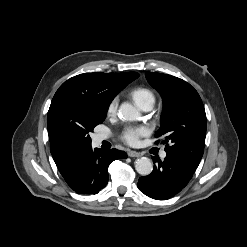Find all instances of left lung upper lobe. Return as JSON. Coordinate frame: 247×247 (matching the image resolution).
<instances>
[{"instance_id": "1", "label": "left lung upper lobe", "mask_w": 247, "mask_h": 247, "mask_svg": "<svg viewBox=\"0 0 247 247\" xmlns=\"http://www.w3.org/2000/svg\"><path fill=\"white\" fill-rule=\"evenodd\" d=\"M145 76L163 100L161 127L155 137L165 136L163 143L170 141L166 153L199 163L206 136V114L199 94L180 78L154 72H146Z\"/></svg>"}]
</instances>
